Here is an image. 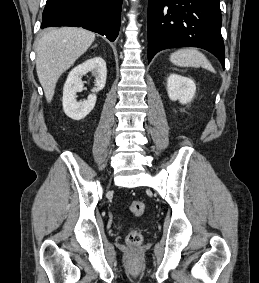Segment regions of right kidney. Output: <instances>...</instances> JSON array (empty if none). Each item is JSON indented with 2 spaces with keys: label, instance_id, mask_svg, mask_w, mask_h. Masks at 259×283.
I'll return each mask as SVG.
<instances>
[{
  "label": "right kidney",
  "instance_id": "ca27d5eb",
  "mask_svg": "<svg viewBox=\"0 0 259 283\" xmlns=\"http://www.w3.org/2000/svg\"><path fill=\"white\" fill-rule=\"evenodd\" d=\"M91 72L95 76V87L92 92L102 90L106 83V62L101 57H94L78 65L69 73L63 88V110L73 120L85 118L96 104V94L88 96L87 100L77 102V92L83 88L82 76Z\"/></svg>",
  "mask_w": 259,
  "mask_h": 283
}]
</instances>
